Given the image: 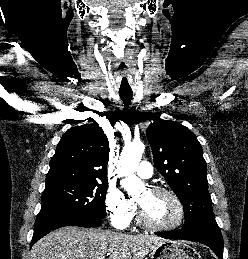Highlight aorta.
I'll list each match as a JSON object with an SVG mask.
<instances>
[{
  "label": "aorta",
  "mask_w": 248,
  "mask_h": 259,
  "mask_svg": "<svg viewBox=\"0 0 248 259\" xmlns=\"http://www.w3.org/2000/svg\"><path fill=\"white\" fill-rule=\"evenodd\" d=\"M145 146L141 141H134L125 145L118 162L117 173L123 188L131 196L143 189V182L134 174L141 160Z\"/></svg>",
  "instance_id": "1"
}]
</instances>
